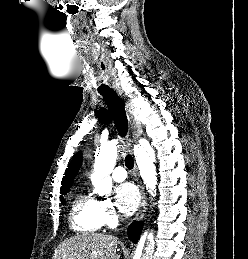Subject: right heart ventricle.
I'll use <instances>...</instances> for the list:
<instances>
[{"label": "right heart ventricle", "mask_w": 248, "mask_h": 259, "mask_svg": "<svg viewBox=\"0 0 248 259\" xmlns=\"http://www.w3.org/2000/svg\"><path fill=\"white\" fill-rule=\"evenodd\" d=\"M70 226L73 230L92 233L102 227L98 209V200L79 192L73 199L70 216Z\"/></svg>", "instance_id": "obj_1"}]
</instances>
